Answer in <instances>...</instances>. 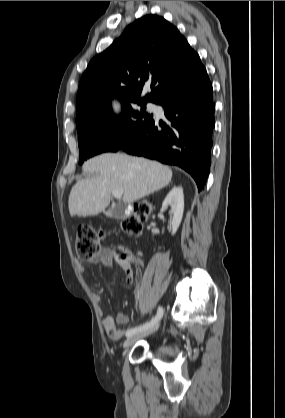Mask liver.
Segmentation results:
<instances>
[{
    "mask_svg": "<svg viewBox=\"0 0 285 418\" xmlns=\"http://www.w3.org/2000/svg\"><path fill=\"white\" fill-rule=\"evenodd\" d=\"M82 169L98 176L80 180L72 187L68 199L71 216L85 217L104 211L113 190H121L123 202L131 204L167 186L172 179L169 167L122 153L95 156Z\"/></svg>",
    "mask_w": 285,
    "mask_h": 418,
    "instance_id": "1",
    "label": "liver"
}]
</instances>
